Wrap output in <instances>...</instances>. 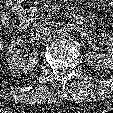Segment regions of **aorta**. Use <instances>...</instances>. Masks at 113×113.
Here are the masks:
<instances>
[{
	"label": "aorta",
	"instance_id": "1",
	"mask_svg": "<svg viewBox=\"0 0 113 113\" xmlns=\"http://www.w3.org/2000/svg\"><path fill=\"white\" fill-rule=\"evenodd\" d=\"M75 28L72 24H64L58 29V38L61 40H70L73 38Z\"/></svg>",
	"mask_w": 113,
	"mask_h": 113
}]
</instances>
